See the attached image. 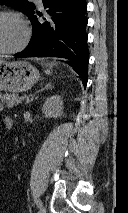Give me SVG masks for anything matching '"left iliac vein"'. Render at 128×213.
Returning <instances> with one entry per match:
<instances>
[{
  "mask_svg": "<svg viewBox=\"0 0 128 213\" xmlns=\"http://www.w3.org/2000/svg\"><path fill=\"white\" fill-rule=\"evenodd\" d=\"M39 213H46L45 208H44L42 203H41V206H40Z\"/></svg>",
  "mask_w": 128,
  "mask_h": 213,
  "instance_id": "4c4485c4",
  "label": "left iliac vein"
}]
</instances>
